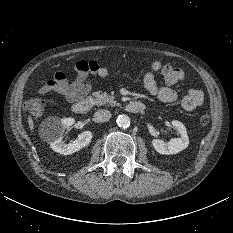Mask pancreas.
<instances>
[{
    "label": "pancreas",
    "instance_id": "cf45deb5",
    "mask_svg": "<svg viewBox=\"0 0 233 233\" xmlns=\"http://www.w3.org/2000/svg\"><path fill=\"white\" fill-rule=\"evenodd\" d=\"M95 97V104L98 106L108 104L110 106L118 105L114 96L107 95L106 93L94 92L92 94Z\"/></svg>",
    "mask_w": 233,
    "mask_h": 233
}]
</instances>
